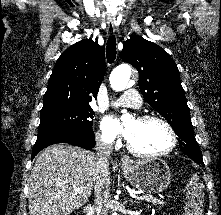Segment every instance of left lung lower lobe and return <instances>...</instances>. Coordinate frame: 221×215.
I'll return each mask as SVG.
<instances>
[{
	"mask_svg": "<svg viewBox=\"0 0 221 215\" xmlns=\"http://www.w3.org/2000/svg\"><path fill=\"white\" fill-rule=\"evenodd\" d=\"M192 159H194L195 161L199 162V163H202L203 164V159H202V156L198 157V156H195V157H191Z\"/></svg>",
	"mask_w": 221,
	"mask_h": 215,
	"instance_id": "0a47b994",
	"label": "left lung lower lobe"
}]
</instances>
